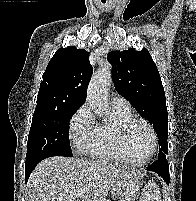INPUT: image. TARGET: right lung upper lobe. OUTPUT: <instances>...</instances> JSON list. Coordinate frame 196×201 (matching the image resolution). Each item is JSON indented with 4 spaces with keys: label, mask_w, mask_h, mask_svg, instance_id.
Wrapping results in <instances>:
<instances>
[{
    "label": "right lung upper lobe",
    "mask_w": 196,
    "mask_h": 201,
    "mask_svg": "<svg viewBox=\"0 0 196 201\" xmlns=\"http://www.w3.org/2000/svg\"><path fill=\"white\" fill-rule=\"evenodd\" d=\"M92 72L89 53L84 49L59 48L43 74L36 108L80 107L86 100Z\"/></svg>",
    "instance_id": "1"
}]
</instances>
